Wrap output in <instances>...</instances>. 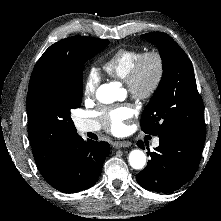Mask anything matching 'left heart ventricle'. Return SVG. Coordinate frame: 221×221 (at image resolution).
<instances>
[{
    "label": "left heart ventricle",
    "instance_id": "1",
    "mask_svg": "<svg viewBox=\"0 0 221 221\" xmlns=\"http://www.w3.org/2000/svg\"><path fill=\"white\" fill-rule=\"evenodd\" d=\"M153 76H154V66L152 63H148L144 71L143 81L145 83H149L152 80Z\"/></svg>",
    "mask_w": 221,
    "mask_h": 221
}]
</instances>
